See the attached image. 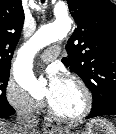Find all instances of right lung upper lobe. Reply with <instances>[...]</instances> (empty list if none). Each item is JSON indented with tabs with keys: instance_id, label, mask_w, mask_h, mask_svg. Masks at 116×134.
I'll use <instances>...</instances> for the list:
<instances>
[{
	"instance_id": "right-lung-upper-lobe-1",
	"label": "right lung upper lobe",
	"mask_w": 116,
	"mask_h": 134,
	"mask_svg": "<svg viewBox=\"0 0 116 134\" xmlns=\"http://www.w3.org/2000/svg\"><path fill=\"white\" fill-rule=\"evenodd\" d=\"M23 23L21 0H0V71L10 70Z\"/></svg>"
}]
</instances>
